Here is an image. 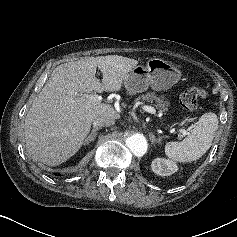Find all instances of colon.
<instances>
[{
  "mask_svg": "<svg viewBox=\"0 0 237 237\" xmlns=\"http://www.w3.org/2000/svg\"><path fill=\"white\" fill-rule=\"evenodd\" d=\"M208 92L200 87H191L185 90L180 97L181 108L185 112H192L197 108L198 99L207 98Z\"/></svg>",
  "mask_w": 237,
  "mask_h": 237,
  "instance_id": "colon-1",
  "label": "colon"
}]
</instances>
